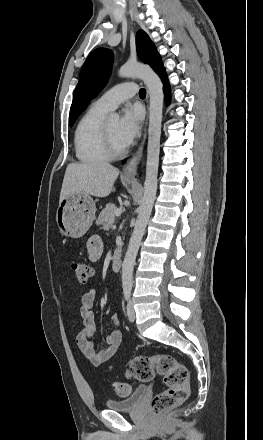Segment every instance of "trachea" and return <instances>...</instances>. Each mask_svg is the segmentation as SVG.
<instances>
[{"mask_svg":"<svg viewBox=\"0 0 263 440\" xmlns=\"http://www.w3.org/2000/svg\"><path fill=\"white\" fill-rule=\"evenodd\" d=\"M139 96L140 97H145L146 96V90L145 89H140V91H139Z\"/></svg>","mask_w":263,"mask_h":440,"instance_id":"1","label":"trachea"}]
</instances>
